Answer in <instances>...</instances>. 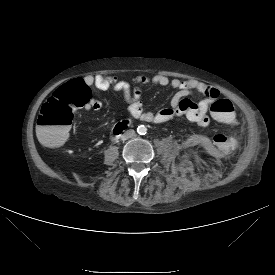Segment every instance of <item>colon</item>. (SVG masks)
Returning <instances> with one entry per match:
<instances>
[{
	"label": "colon",
	"mask_w": 275,
	"mask_h": 275,
	"mask_svg": "<svg viewBox=\"0 0 275 275\" xmlns=\"http://www.w3.org/2000/svg\"><path fill=\"white\" fill-rule=\"evenodd\" d=\"M89 100V88L80 79L57 88L43 104L38 115L36 129L40 142L48 147L63 143L69 135L74 112L88 105ZM210 110L221 121L229 122L235 118L234 105L223 97L213 98ZM231 137L237 145L236 139Z\"/></svg>",
	"instance_id": "1"
}]
</instances>
